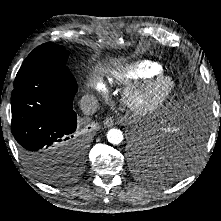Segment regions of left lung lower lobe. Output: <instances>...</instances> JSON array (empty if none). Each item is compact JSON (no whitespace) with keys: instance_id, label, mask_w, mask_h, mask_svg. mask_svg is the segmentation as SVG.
<instances>
[{"instance_id":"obj_1","label":"left lung lower lobe","mask_w":221,"mask_h":221,"mask_svg":"<svg viewBox=\"0 0 221 221\" xmlns=\"http://www.w3.org/2000/svg\"><path fill=\"white\" fill-rule=\"evenodd\" d=\"M188 131L182 143H163L159 133L149 136H136L131 142V152L140 161H146L151 166V171L142 173V177L154 185H168L182 178L193 166L198 151L195 148L197 134L204 131V123H193L188 126ZM162 150H168V161L158 162L156 156ZM154 170V171H152Z\"/></svg>"}]
</instances>
